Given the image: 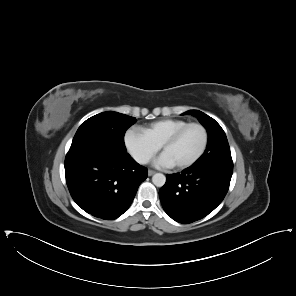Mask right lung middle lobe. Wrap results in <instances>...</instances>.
Masks as SVG:
<instances>
[{
    "mask_svg": "<svg viewBox=\"0 0 296 296\" xmlns=\"http://www.w3.org/2000/svg\"><path fill=\"white\" fill-rule=\"evenodd\" d=\"M136 121L134 117L112 111L97 114L81 124L73 138L72 146L93 143L125 152V131Z\"/></svg>",
    "mask_w": 296,
    "mask_h": 296,
    "instance_id": "dd1d6c3e",
    "label": "right lung middle lobe"
}]
</instances>
